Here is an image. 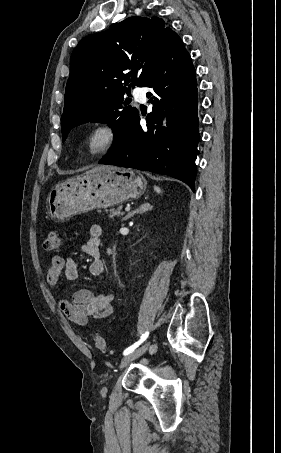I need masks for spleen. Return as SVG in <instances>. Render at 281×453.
<instances>
[{
  "mask_svg": "<svg viewBox=\"0 0 281 453\" xmlns=\"http://www.w3.org/2000/svg\"><path fill=\"white\" fill-rule=\"evenodd\" d=\"M154 190H156V192H161V188H159V186H154Z\"/></svg>",
  "mask_w": 281,
  "mask_h": 453,
  "instance_id": "3e777b00",
  "label": "spleen"
}]
</instances>
